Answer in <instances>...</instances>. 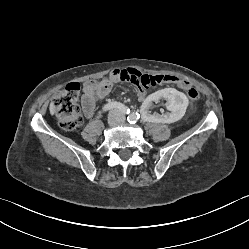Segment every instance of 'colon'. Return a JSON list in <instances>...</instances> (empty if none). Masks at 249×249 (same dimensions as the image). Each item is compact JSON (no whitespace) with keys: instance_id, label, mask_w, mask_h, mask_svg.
I'll return each instance as SVG.
<instances>
[{"instance_id":"5ec220e1","label":"colon","mask_w":249,"mask_h":249,"mask_svg":"<svg viewBox=\"0 0 249 249\" xmlns=\"http://www.w3.org/2000/svg\"><path fill=\"white\" fill-rule=\"evenodd\" d=\"M177 83L182 88L186 89V95L191 101H196L199 97L198 91L189 86L185 80H180L177 77L142 75L144 89L156 86L160 83ZM80 93V84L73 82L67 84L53 99V109L57 116L60 127L63 130L71 131L79 127L83 123V116L78 107V98Z\"/></svg>"}]
</instances>
